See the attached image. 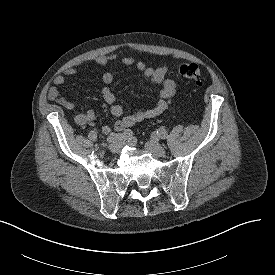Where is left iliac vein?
Returning a JSON list of instances; mask_svg holds the SVG:
<instances>
[{
    "mask_svg": "<svg viewBox=\"0 0 275 275\" xmlns=\"http://www.w3.org/2000/svg\"><path fill=\"white\" fill-rule=\"evenodd\" d=\"M146 151L156 157H164L166 154L165 149L156 140L147 141L144 145Z\"/></svg>",
    "mask_w": 275,
    "mask_h": 275,
    "instance_id": "obj_1",
    "label": "left iliac vein"
}]
</instances>
